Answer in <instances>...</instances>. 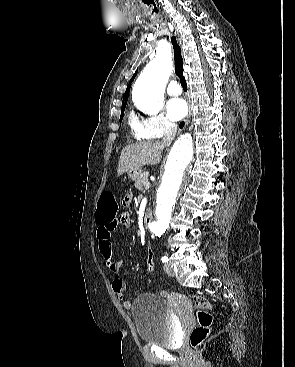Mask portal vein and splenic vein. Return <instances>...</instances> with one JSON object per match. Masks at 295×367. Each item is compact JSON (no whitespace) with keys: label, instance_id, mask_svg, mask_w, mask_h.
<instances>
[{"label":"portal vein and splenic vein","instance_id":"1","mask_svg":"<svg viewBox=\"0 0 295 367\" xmlns=\"http://www.w3.org/2000/svg\"><path fill=\"white\" fill-rule=\"evenodd\" d=\"M144 186H145L146 189H148L150 187V183L146 182Z\"/></svg>","mask_w":295,"mask_h":367}]
</instances>
